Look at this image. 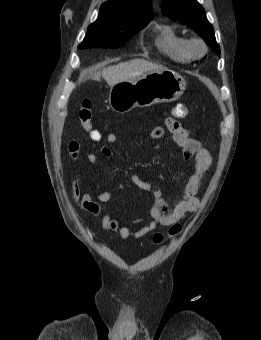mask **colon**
<instances>
[{"label":"colon","mask_w":261,"mask_h":340,"mask_svg":"<svg viewBox=\"0 0 261 340\" xmlns=\"http://www.w3.org/2000/svg\"><path fill=\"white\" fill-rule=\"evenodd\" d=\"M172 115L176 118H186L188 115V108L183 104H177L172 108ZM80 122L83 128L88 132L89 136L93 140H100L101 134L93 129L92 119H93V109L89 101H83L78 111ZM182 227L179 224H174L169 229V236L173 237L180 233ZM164 235L161 233H156L153 235V242L155 244H161L164 241Z\"/></svg>","instance_id":"5ec220e1"}]
</instances>
